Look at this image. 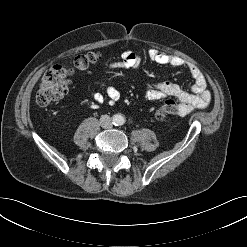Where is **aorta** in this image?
<instances>
[{
    "mask_svg": "<svg viewBox=\"0 0 247 247\" xmlns=\"http://www.w3.org/2000/svg\"><path fill=\"white\" fill-rule=\"evenodd\" d=\"M115 122L118 124V125H122L125 123V118L122 116V115H116L115 117Z\"/></svg>",
    "mask_w": 247,
    "mask_h": 247,
    "instance_id": "aorta-1",
    "label": "aorta"
}]
</instances>
